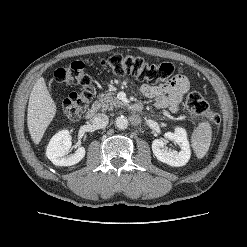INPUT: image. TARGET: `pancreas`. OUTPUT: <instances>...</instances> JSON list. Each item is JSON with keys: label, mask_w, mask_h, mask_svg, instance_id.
<instances>
[{"label": "pancreas", "mask_w": 247, "mask_h": 247, "mask_svg": "<svg viewBox=\"0 0 247 247\" xmlns=\"http://www.w3.org/2000/svg\"><path fill=\"white\" fill-rule=\"evenodd\" d=\"M97 105L102 111H107L113 108H122L125 104L113 96V93H101Z\"/></svg>", "instance_id": "pancreas-1"}]
</instances>
